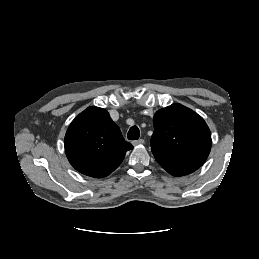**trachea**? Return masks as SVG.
<instances>
[{
	"instance_id": "3493384b",
	"label": "trachea",
	"mask_w": 259,
	"mask_h": 259,
	"mask_svg": "<svg viewBox=\"0 0 259 259\" xmlns=\"http://www.w3.org/2000/svg\"><path fill=\"white\" fill-rule=\"evenodd\" d=\"M140 136V131L137 126H132L127 134L129 140H137Z\"/></svg>"
}]
</instances>
